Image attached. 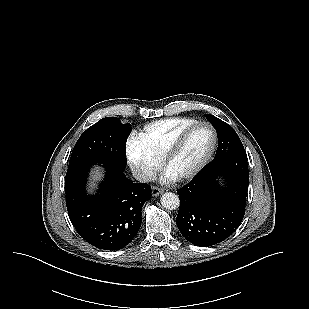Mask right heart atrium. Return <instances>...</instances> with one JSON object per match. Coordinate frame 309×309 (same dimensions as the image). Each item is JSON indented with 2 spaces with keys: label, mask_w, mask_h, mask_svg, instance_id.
Masks as SVG:
<instances>
[{
  "label": "right heart atrium",
  "mask_w": 309,
  "mask_h": 309,
  "mask_svg": "<svg viewBox=\"0 0 309 309\" xmlns=\"http://www.w3.org/2000/svg\"><path fill=\"white\" fill-rule=\"evenodd\" d=\"M126 155L133 173L140 181H150L160 169V159L146 149L137 137L128 140Z\"/></svg>",
  "instance_id": "obj_1"
}]
</instances>
